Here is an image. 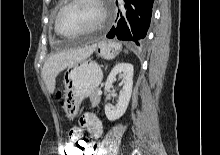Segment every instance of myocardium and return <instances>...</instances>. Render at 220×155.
<instances>
[{
	"instance_id": "myocardium-1",
	"label": "myocardium",
	"mask_w": 220,
	"mask_h": 155,
	"mask_svg": "<svg viewBox=\"0 0 220 155\" xmlns=\"http://www.w3.org/2000/svg\"><path fill=\"white\" fill-rule=\"evenodd\" d=\"M77 1L78 0H67L59 8V10H58V12H57V14L55 16V19H54V30H55V32L58 35L63 36V37L83 35V34H87V33L93 32V31L101 28L105 24V22L107 20V16H108L106 4H105L104 0H93L98 5V7L100 9V12H101L99 20L95 24H93L92 26H90V27H88L86 29H83L81 31H78V32L69 33V34L61 32L60 29H59V26H58V22H59V18H60L61 13L67 7H69L70 5H72L73 3L77 2Z\"/></svg>"
}]
</instances>
